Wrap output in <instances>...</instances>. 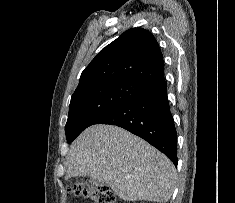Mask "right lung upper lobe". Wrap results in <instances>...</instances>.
Here are the masks:
<instances>
[{
    "mask_svg": "<svg viewBox=\"0 0 235 203\" xmlns=\"http://www.w3.org/2000/svg\"><path fill=\"white\" fill-rule=\"evenodd\" d=\"M163 77V55L156 39L146 29L133 28L91 61L82 72L76 90L108 81H130L148 86Z\"/></svg>",
    "mask_w": 235,
    "mask_h": 203,
    "instance_id": "obj_1",
    "label": "right lung upper lobe"
}]
</instances>
